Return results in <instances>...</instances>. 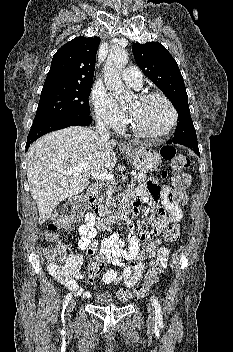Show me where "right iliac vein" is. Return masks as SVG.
I'll use <instances>...</instances> for the list:
<instances>
[{
  "instance_id": "right-iliac-vein-1",
  "label": "right iliac vein",
  "mask_w": 233,
  "mask_h": 352,
  "mask_svg": "<svg viewBox=\"0 0 233 352\" xmlns=\"http://www.w3.org/2000/svg\"><path fill=\"white\" fill-rule=\"evenodd\" d=\"M74 306H75V300L71 299L68 303V308H67L68 313H70L74 309Z\"/></svg>"
}]
</instances>
